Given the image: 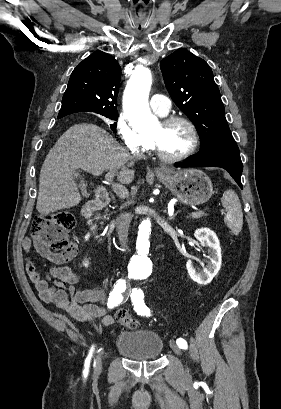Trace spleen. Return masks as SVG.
<instances>
[{"label": "spleen", "mask_w": 281, "mask_h": 409, "mask_svg": "<svg viewBox=\"0 0 281 409\" xmlns=\"http://www.w3.org/2000/svg\"><path fill=\"white\" fill-rule=\"evenodd\" d=\"M222 205L227 209V215L224 219L227 227L231 229L234 235H239L243 227V213L238 194L232 188L223 192Z\"/></svg>", "instance_id": "obj_1"}]
</instances>
